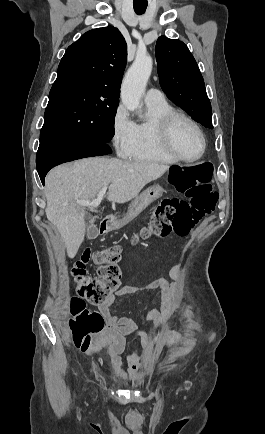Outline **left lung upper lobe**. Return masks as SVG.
I'll list each match as a JSON object with an SVG mask.
<instances>
[{
  "mask_svg": "<svg viewBox=\"0 0 265 434\" xmlns=\"http://www.w3.org/2000/svg\"><path fill=\"white\" fill-rule=\"evenodd\" d=\"M156 60L160 85L168 98L195 121L213 128L204 80L187 46L179 40L161 36L156 43Z\"/></svg>",
  "mask_w": 265,
  "mask_h": 434,
  "instance_id": "1",
  "label": "left lung upper lobe"
}]
</instances>
